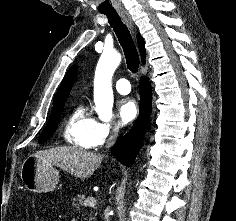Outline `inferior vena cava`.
Listing matches in <instances>:
<instances>
[{
	"label": "inferior vena cava",
	"mask_w": 236,
	"mask_h": 221,
	"mask_svg": "<svg viewBox=\"0 0 236 221\" xmlns=\"http://www.w3.org/2000/svg\"><path fill=\"white\" fill-rule=\"evenodd\" d=\"M117 136H118V132L116 130H114L113 133L107 139L106 146H105L107 149L113 145ZM106 221H110V219L107 218Z\"/></svg>",
	"instance_id": "602c4592"
}]
</instances>
